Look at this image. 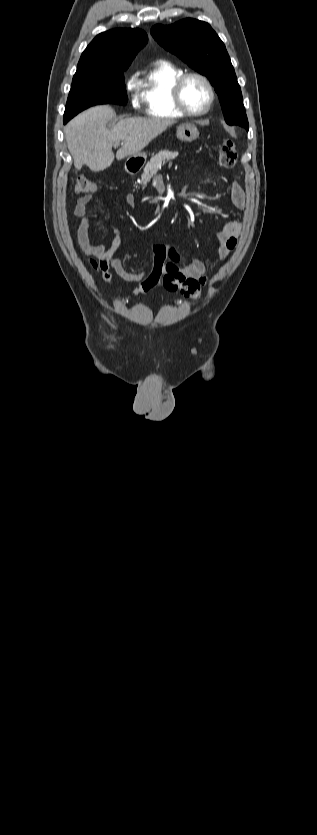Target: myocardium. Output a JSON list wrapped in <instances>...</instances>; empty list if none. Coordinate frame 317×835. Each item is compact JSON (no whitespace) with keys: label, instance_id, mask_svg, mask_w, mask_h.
Returning <instances> with one entry per match:
<instances>
[{"label":"myocardium","instance_id":"f54148a6","mask_svg":"<svg viewBox=\"0 0 317 835\" xmlns=\"http://www.w3.org/2000/svg\"><path fill=\"white\" fill-rule=\"evenodd\" d=\"M191 78L200 79L201 81H203L206 84V86L209 89V93H210L209 102L206 105V107L201 111L190 110L186 106V104L184 102V99H183L184 87H185L187 81ZM172 94H173L174 103H175L177 109L181 113H183V115L189 116V117H199V116H203V115L207 114L210 111V109L212 108V106L214 104V101H215V97H216L215 88H214L211 80L206 75H204L202 73H199V72H186V73L182 74L176 80V82L173 86V89H172Z\"/></svg>","mask_w":317,"mask_h":835}]
</instances>
